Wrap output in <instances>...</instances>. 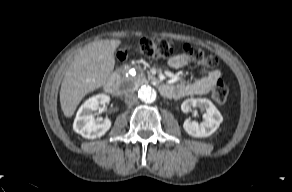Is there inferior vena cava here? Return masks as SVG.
<instances>
[{
    "label": "inferior vena cava",
    "mask_w": 292,
    "mask_h": 192,
    "mask_svg": "<svg viewBox=\"0 0 292 192\" xmlns=\"http://www.w3.org/2000/svg\"><path fill=\"white\" fill-rule=\"evenodd\" d=\"M138 102V97L135 93L129 92L125 95V103L132 106Z\"/></svg>",
    "instance_id": "obj_1"
}]
</instances>
